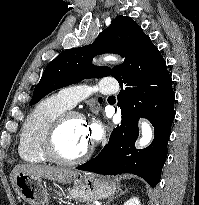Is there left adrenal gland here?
Segmentation results:
<instances>
[{
  "label": "left adrenal gland",
  "mask_w": 199,
  "mask_h": 205,
  "mask_svg": "<svg viewBox=\"0 0 199 205\" xmlns=\"http://www.w3.org/2000/svg\"><path fill=\"white\" fill-rule=\"evenodd\" d=\"M125 193H126V191H122V190H121V192L119 193V195H117L116 197L110 198V199L106 202V204H104V205H109L111 201H113V200L116 199L118 196H121V195H123V194H125Z\"/></svg>",
  "instance_id": "obj_1"
}]
</instances>
